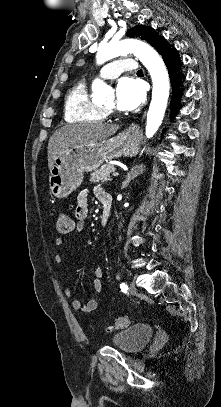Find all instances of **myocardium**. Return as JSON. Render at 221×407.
I'll return each instance as SVG.
<instances>
[{
	"label": "myocardium",
	"mask_w": 221,
	"mask_h": 407,
	"mask_svg": "<svg viewBox=\"0 0 221 407\" xmlns=\"http://www.w3.org/2000/svg\"><path fill=\"white\" fill-rule=\"evenodd\" d=\"M103 109L105 110V112L107 114H112L115 112V107H107V106H103Z\"/></svg>",
	"instance_id": "obj_1"
}]
</instances>
